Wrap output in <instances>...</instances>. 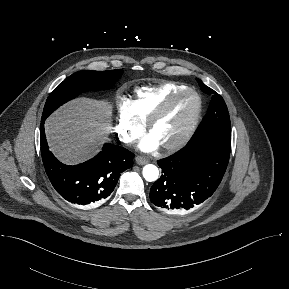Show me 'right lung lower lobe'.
<instances>
[{"mask_svg": "<svg viewBox=\"0 0 289 289\" xmlns=\"http://www.w3.org/2000/svg\"><path fill=\"white\" fill-rule=\"evenodd\" d=\"M41 119L40 144L45 171L55 190L68 202L93 205L113 192L122 172L133 166L134 154L129 150L105 144L102 151L80 165L67 166L49 151Z\"/></svg>", "mask_w": 289, "mask_h": 289, "instance_id": "98d812e1", "label": "right lung lower lobe"}]
</instances>
